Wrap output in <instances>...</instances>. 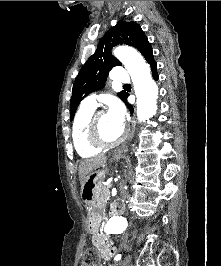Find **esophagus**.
I'll list each match as a JSON object with an SVG mask.
<instances>
[{
  "instance_id": "34e87169",
  "label": "esophagus",
  "mask_w": 221,
  "mask_h": 266,
  "mask_svg": "<svg viewBox=\"0 0 221 266\" xmlns=\"http://www.w3.org/2000/svg\"><path fill=\"white\" fill-rule=\"evenodd\" d=\"M135 125H136V121H135V118L133 117L132 128H131V131H130V134H129V137H128V141H130L132 139V137H133L134 130H135Z\"/></svg>"
}]
</instances>
